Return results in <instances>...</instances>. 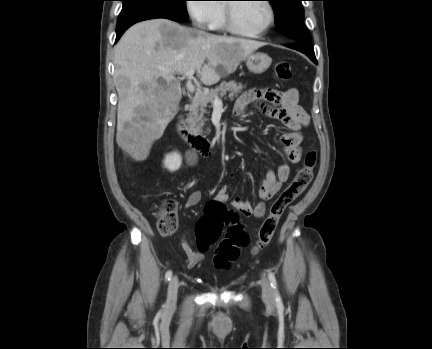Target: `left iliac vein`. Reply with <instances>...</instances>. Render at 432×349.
I'll use <instances>...</instances> for the list:
<instances>
[{"label":"left iliac vein","mask_w":432,"mask_h":349,"mask_svg":"<svg viewBox=\"0 0 432 349\" xmlns=\"http://www.w3.org/2000/svg\"><path fill=\"white\" fill-rule=\"evenodd\" d=\"M261 287H262V299L264 303L269 307H274L275 306L274 291L266 277H262Z\"/></svg>","instance_id":"obj_1"}]
</instances>
